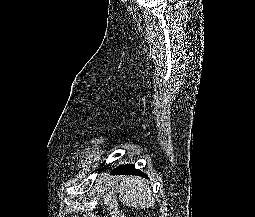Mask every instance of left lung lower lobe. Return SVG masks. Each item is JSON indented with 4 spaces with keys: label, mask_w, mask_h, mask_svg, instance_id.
<instances>
[{
    "label": "left lung lower lobe",
    "mask_w": 255,
    "mask_h": 217,
    "mask_svg": "<svg viewBox=\"0 0 255 217\" xmlns=\"http://www.w3.org/2000/svg\"><path fill=\"white\" fill-rule=\"evenodd\" d=\"M113 174L116 175H138L147 177L145 174H143L141 171L134 168L133 165L127 164L117 167L113 170Z\"/></svg>",
    "instance_id": "0a47b994"
}]
</instances>
